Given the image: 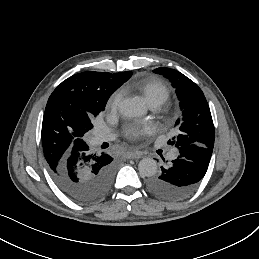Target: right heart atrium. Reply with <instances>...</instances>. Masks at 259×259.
<instances>
[{
  "mask_svg": "<svg viewBox=\"0 0 259 259\" xmlns=\"http://www.w3.org/2000/svg\"><path fill=\"white\" fill-rule=\"evenodd\" d=\"M122 102V96L120 91H115L110 99H109V105L113 108V109H118L120 104Z\"/></svg>",
  "mask_w": 259,
  "mask_h": 259,
  "instance_id": "d8ad5b80",
  "label": "right heart atrium"
}]
</instances>
